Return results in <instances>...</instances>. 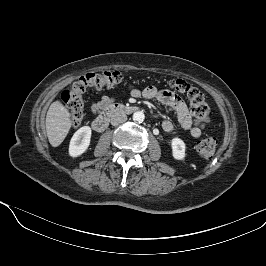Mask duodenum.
<instances>
[{"label":"duodenum","mask_w":266,"mask_h":266,"mask_svg":"<svg viewBox=\"0 0 266 266\" xmlns=\"http://www.w3.org/2000/svg\"><path fill=\"white\" fill-rule=\"evenodd\" d=\"M138 110L136 106L124 105L120 103H111L103 108L100 115L92 122V127L97 132L104 131L110 122V119L118 114H131Z\"/></svg>","instance_id":"1"}]
</instances>
